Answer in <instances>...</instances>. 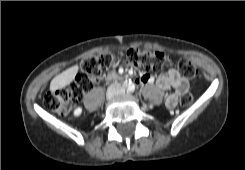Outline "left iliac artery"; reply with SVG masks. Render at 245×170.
Listing matches in <instances>:
<instances>
[{
    "label": "left iliac artery",
    "instance_id": "44dca946",
    "mask_svg": "<svg viewBox=\"0 0 245 170\" xmlns=\"http://www.w3.org/2000/svg\"><path fill=\"white\" fill-rule=\"evenodd\" d=\"M135 91V85L134 84H131L129 87H128V92L132 93Z\"/></svg>",
    "mask_w": 245,
    "mask_h": 170
}]
</instances>
